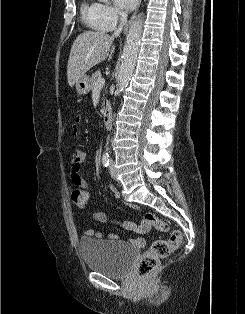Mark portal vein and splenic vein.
<instances>
[{
	"mask_svg": "<svg viewBox=\"0 0 245 314\" xmlns=\"http://www.w3.org/2000/svg\"><path fill=\"white\" fill-rule=\"evenodd\" d=\"M105 84V79L104 78H98L96 83H95V88H102Z\"/></svg>",
	"mask_w": 245,
	"mask_h": 314,
	"instance_id": "obj_1",
	"label": "portal vein and splenic vein"
}]
</instances>
